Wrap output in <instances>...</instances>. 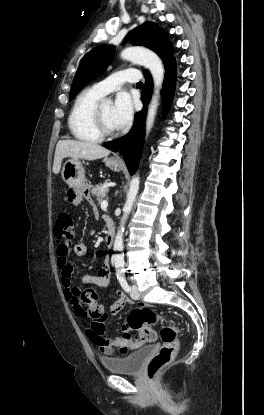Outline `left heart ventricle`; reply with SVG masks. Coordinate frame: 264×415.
<instances>
[{
  "instance_id": "b2bd125f",
  "label": "left heart ventricle",
  "mask_w": 264,
  "mask_h": 415,
  "mask_svg": "<svg viewBox=\"0 0 264 415\" xmlns=\"http://www.w3.org/2000/svg\"><path fill=\"white\" fill-rule=\"evenodd\" d=\"M101 114L105 123L106 128L110 132L117 131V128L113 122L112 118V106L110 105H101L100 106Z\"/></svg>"
}]
</instances>
